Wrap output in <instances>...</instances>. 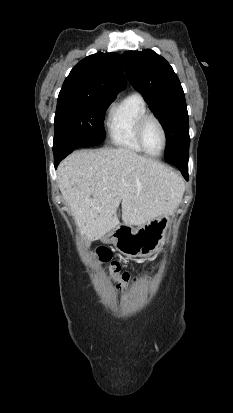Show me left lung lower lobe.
Instances as JSON below:
<instances>
[{
    "label": "left lung lower lobe",
    "instance_id": "0a47b994",
    "mask_svg": "<svg viewBox=\"0 0 233 413\" xmlns=\"http://www.w3.org/2000/svg\"><path fill=\"white\" fill-rule=\"evenodd\" d=\"M174 165L179 168L184 178L188 180V162H174Z\"/></svg>",
    "mask_w": 233,
    "mask_h": 413
}]
</instances>
